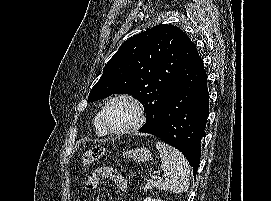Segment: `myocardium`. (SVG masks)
Returning a JSON list of instances; mask_svg holds the SVG:
<instances>
[{
  "mask_svg": "<svg viewBox=\"0 0 271 201\" xmlns=\"http://www.w3.org/2000/svg\"><path fill=\"white\" fill-rule=\"evenodd\" d=\"M119 100H125L130 102L135 110H136V114H137V119L135 121V123L125 129H115L113 128L106 117V111L108 106L115 102V101H119ZM100 118L102 121V124L104 126V128L111 134H115V135H128V134H132L137 132L138 130H140L143 125L146 122V115H145V110H144V106L143 104L139 101L138 98H136L135 96L131 95V94H127V93H121V94H116L112 97H110L102 106L101 111H100Z\"/></svg>",
  "mask_w": 271,
  "mask_h": 201,
  "instance_id": "1",
  "label": "myocardium"
}]
</instances>
